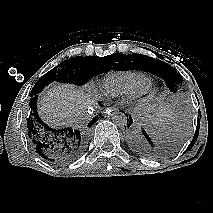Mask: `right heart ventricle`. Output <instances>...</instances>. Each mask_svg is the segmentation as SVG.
<instances>
[{"label":"right heart ventricle","mask_w":213,"mask_h":213,"mask_svg":"<svg viewBox=\"0 0 213 213\" xmlns=\"http://www.w3.org/2000/svg\"><path fill=\"white\" fill-rule=\"evenodd\" d=\"M150 83V77L140 71L112 72L103 79V88L111 96L140 91Z\"/></svg>","instance_id":"1"}]
</instances>
